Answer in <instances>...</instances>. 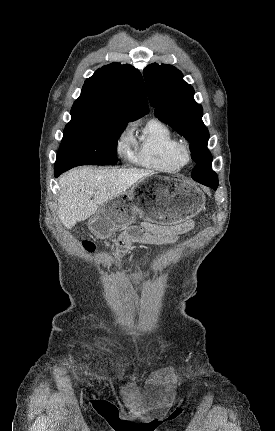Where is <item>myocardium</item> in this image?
<instances>
[{
    "label": "myocardium",
    "instance_id": "f54148a6",
    "mask_svg": "<svg viewBox=\"0 0 275 431\" xmlns=\"http://www.w3.org/2000/svg\"><path fill=\"white\" fill-rule=\"evenodd\" d=\"M182 155L185 159V161L190 159V150L189 146L187 144H182L181 146Z\"/></svg>",
    "mask_w": 275,
    "mask_h": 431
}]
</instances>
